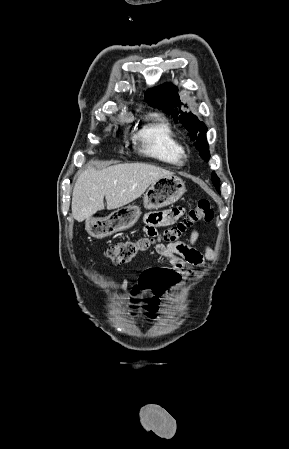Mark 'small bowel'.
<instances>
[{
	"mask_svg": "<svg viewBox=\"0 0 289 449\" xmlns=\"http://www.w3.org/2000/svg\"><path fill=\"white\" fill-rule=\"evenodd\" d=\"M182 208H173L159 213H148L144 217L145 226L144 232L148 236H156L158 226H163L172 223L178 219L182 214ZM199 240V233L193 231L190 236L189 244L185 243H172L162 244L159 243L155 246V251L158 255L165 258L171 268L180 272V278L192 276L197 267L204 264L205 260H212L215 257L214 251L209 246H206L204 253H200L196 245ZM146 268H161V267H146ZM143 271V270H142ZM128 280H124L121 285V291L125 292L128 288ZM155 295V294H154Z\"/></svg>",
	"mask_w": 289,
	"mask_h": 449,
	"instance_id": "1",
	"label": "small bowel"
}]
</instances>
